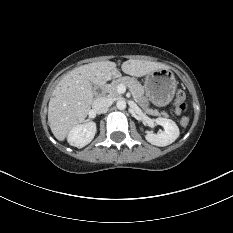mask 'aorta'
Returning <instances> with one entry per match:
<instances>
[{
	"instance_id": "aorta-1",
	"label": "aorta",
	"mask_w": 233,
	"mask_h": 233,
	"mask_svg": "<svg viewBox=\"0 0 233 233\" xmlns=\"http://www.w3.org/2000/svg\"><path fill=\"white\" fill-rule=\"evenodd\" d=\"M116 106L119 110H124L126 108V102L125 100H118L116 103Z\"/></svg>"
}]
</instances>
